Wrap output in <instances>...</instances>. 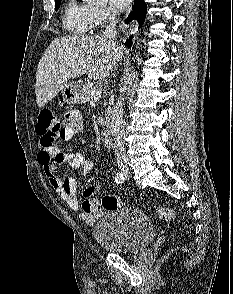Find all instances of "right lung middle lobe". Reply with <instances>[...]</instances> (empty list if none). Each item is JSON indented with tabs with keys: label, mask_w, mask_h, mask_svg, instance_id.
<instances>
[{
	"label": "right lung middle lobe",
	"mask_w": 233,
	"mask_h": 294,
	"mask_svg": "<svg viewBox=\"0 0 233 294\" xmlns=\"http://www.w3.org/2000/svg\"><path fill=\"white\" fill-rule=\"evenodd\" d=\"M61 0H55V10H58L60 7Z\"/></svg>",
	"instance_id": "dd1d6c3e"
}]
</instances>
